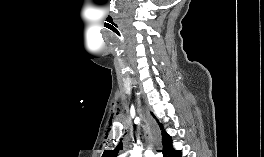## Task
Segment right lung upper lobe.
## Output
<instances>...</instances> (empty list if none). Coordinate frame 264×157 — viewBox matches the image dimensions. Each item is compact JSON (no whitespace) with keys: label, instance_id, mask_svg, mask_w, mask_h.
<instances>
[{"label":"right lung upper lobe","instance_id":"cb5924a9","mask_svg":"<svg viewBox=\"0 0 264 157\" xmlns=\"http://www.w3.org/2000/svg\"><path fill=\"white\" fill-rule=\"evenodd\" d=\"M160 128L163 129V126L159 124ZM171 137L163 130L162 131V144L163 150L171 143ZM119 150H122V142H120L114 150H105L102 157H116Z\"/></svg>","mask_w":264,"mask_h":157}]
</instances>
